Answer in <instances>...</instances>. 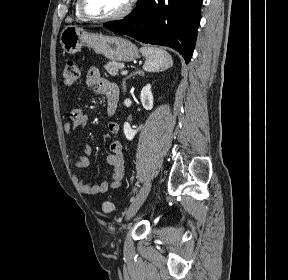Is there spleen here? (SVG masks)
I'll return each mask as SVG.
<instances>
[{"mask_svg": "<svg viewBox=\"0 0 288 280\" xmlns=\"http://www.w3.org/2000/svg\"><path fill=\"white\" fill-rule=\"evenodd\" d=\"M140 50L146 59L143 69L147 72L164 71L173 65L171 55L161 48L144 46Z\"/></svg>", "mask_w": 288, "mask_h": 280, "instance_id": "1", "label": "spleen"}]
</instances>
